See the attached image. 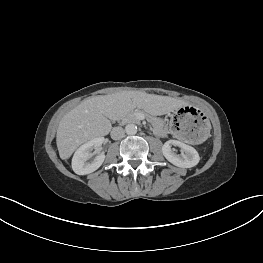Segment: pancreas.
Here are the masks:
<instances>
[{
  "instance_id": "1",
  "label": "pancreas",
  "mask_w": 263,
  "mask_h": 263,
  "mask_svg": "<svg viewBox=\"0 0 263 263\" xmlns=\"http://www.w3.org/2000/svg\"><path fill=\"white\" fill-rule=\"evenodd\" d=\"M141 113L140 110L136 109L134 111H131L129 113H127L122 119L123 121L127 122V121H139L137 118V114ZM146 119L151 123V125L153 126V130L155 133H158L159 130L162 128V120L159 118H156L154 116H151L149 114H145Z\"/></svg>"
}]
</instances>
